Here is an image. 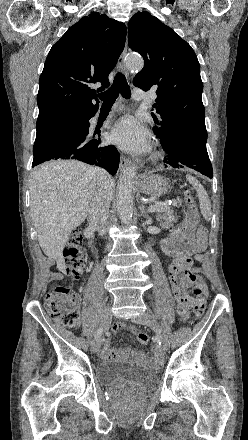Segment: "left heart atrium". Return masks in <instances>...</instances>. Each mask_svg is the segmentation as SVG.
I'll list each match as a JSON object with an SVG mask.
<instances>
[{
  "label": "left heart atrium",
  "mask_w": 248,
  "mask_h": 440,
  "mask_svg": "<svg viewBox=\"0 0 248 440\" xmlns=\"http://www.w3.org/2000/svg\"><path fill=\"white\" fill-rule=\"evenodd\" d=\"M111 140L129 153L141 154L149 150L147 130L131 116L123 117L114 125Z\"/></svg>",
  "instance_id": "obj_1"
}]
</instances>
